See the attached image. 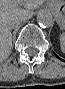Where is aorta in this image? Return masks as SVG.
Listing matches in <instances>:
<instances>
[{"instance_id": "1", "label": "aorta", "mask_w": 65, "mask_h": 89, "mask_svg": "<svg viewBox=\"0 0 65 89\" xmlns=\"http://www.w3.org/2000/svg\"><path fill=\"white\" fill-rule=\"evenodd\" d=\"M36 19H37V23L42 28H50L54 24V17L52 13L47 9L40 10L37 14Z\"/></svg>"}]
</instances>
